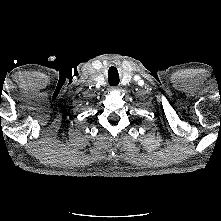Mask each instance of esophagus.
<instances>
[{
	"instance_id": "1",
	"label": "esophagus",
	"mask_w": 221,
	"mask_h": 221,
	"mask_svg": "<svg viewBox=\"0 0 221 221\" xmlns=\"http://www.w3.org/2000/svg\"><path fill=\"white\" fill-rule=\"evenodd\" d=\"M110 90L115 91V90H118V88L117 87H111Z\"/></svg>"
}]
</instances>
